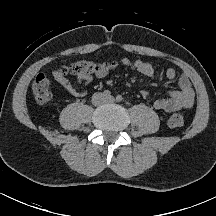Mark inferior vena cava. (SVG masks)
Masks as SVG:
<instances>
[{"label": "inferior vena cava", "instance_id": "obj_1", "mask_svg": "<svg viewBox=\"0 0 216 216\" xmlns=\"http://www.w3.org/2000/svg\"><path fill=\"white\" fill-rule=\"evenodd\" d=\"M98 97H101V93L94 94V103H95V105L97 104L96 98H98Z\"/></svg>", "mask_w": 216, "mask_h": 216}]
</instances>
